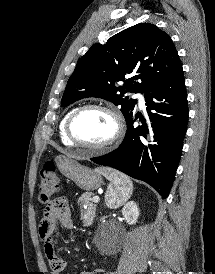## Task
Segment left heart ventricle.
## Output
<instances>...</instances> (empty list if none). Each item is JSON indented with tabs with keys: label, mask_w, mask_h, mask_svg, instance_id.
<instances>
[{
	"label": "left heart ventricle",
	"mask_w": 215,
	"mask_h": 274,
	"mask_svg": "<svg viewBox=\"0 0 215 274\" xmlns=\"http://www.w3.org/2000/svg\"><path fill=\"white\" fill-rule=\"evenodd\" d=\"M115 130L112 117L98 109L81 112L73 123V132L78 140L90 145L107 141Z\"/></svg>",
	"instance_id": "b2bd125f"
}]
</instances>
